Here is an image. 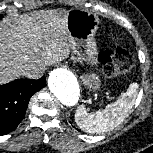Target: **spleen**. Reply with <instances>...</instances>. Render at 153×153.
<instances>
[{"instance_id": "obj_1", "label": "spleen", "mask_w": 153, "mask_h": 153, "mask_svg": "<svg viewBox=\"0 0 153 153\" xmlns=\"http://www.w3.org/2000/svg\"><path fill=\"white\" fill-rule=\"evenodd\" d=\"M137 90V83L130 84L128 90L122 93L117 101L95 113H88L86 108L81 105L75 113L76 124L85 132L97 134L119 126L133 108Z\"/></svg>"}]
</instances>
